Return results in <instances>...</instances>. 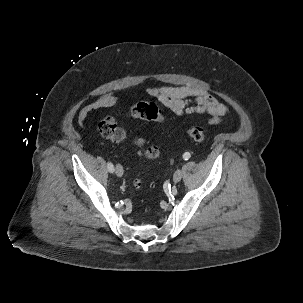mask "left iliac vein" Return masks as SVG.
Listing matches in <instances>:
<instances>
[{"mask_svg":"<svg viewBox=\"0 0 303 303\" xmlns=\"http://www.w3.org/2000/svg\"><path fill=\"white\" fill-rule=\"evenodd\" d=\"M182 175H183V172H182L181 169L176 170L174 175H173V181L175 183H178L181 180Z\"/></svg>","mask_w":303,"mask_h":303,"instance_id":"obj_1","label":"left iliac vein"}]
</instances>
